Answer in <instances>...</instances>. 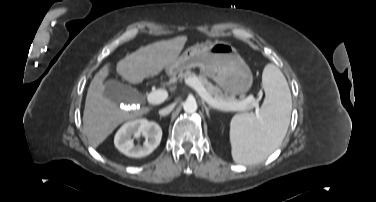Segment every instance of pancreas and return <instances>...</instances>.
I'll list each match as a JSON object with an SVG mask.
<instances>
[{
  "mask_svg": "<svg viewBox=\"0 0 376 202\" xmlns=\"http://www.w3.org/2000/svg\"><path fill=\"white\" fill-rule=\"evenodd\" d=\"M189 78H196L204 86L206 91L210 95H212L213 98H215L217 101H220V102H244V100H245V99L237 100V99H235L234 95H228L226 93H223L222 90L219 87L214 86L209 82H206L205 78L203 76H196L191 71H186L185 73H183L180 76L181 80L182 79L186 80V79H189ZM176 80H177L176 78H172L171 81H170V84L175 83ZM255 102L258 105V100L255 99ZM257 105H255L253 102H249V103L245 104V108L250 110L253 107H256Z\"/></svg>",
  "mask_w": 376,
  "mask_h": 202,
  "instance_id": "1",
  "label": "pancreas"
}]
</instances>
